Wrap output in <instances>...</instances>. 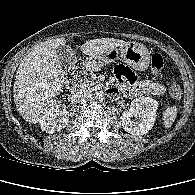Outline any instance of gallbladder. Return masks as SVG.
<instances>
[{"label": "gallbladder", "instance_id": "1", "mask_svg": "<svg viewBox=\"0 0 195 195\" xmlns=\"http://www.w3.org/2000/svg\"><path fill=\"white\" fill-rule=\"evenodd\" d=\"M55 51L64 67L75 64L77 58L74 50L70 46L60 45Z\"/></svg>", "mask_w": 195, "mask_h": 195}]
</instances>
